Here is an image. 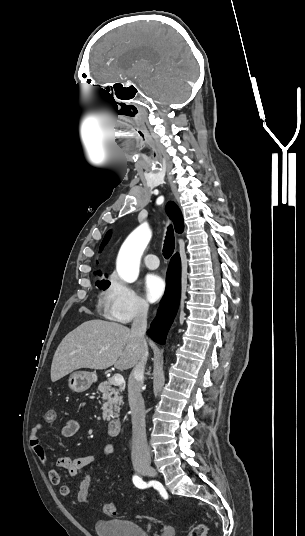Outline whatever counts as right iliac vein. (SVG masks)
Listing matches in <instances>:
<instances>
[{
	"label": "right iliac vein",
	"instance_id": "63e3f726",
	"mask_svg": "<svg viewBox=\"0 0 305 536\" xmlns=\"http://www.w3.org/2000/svg\"><path fill=\"white\" fill-rule=\"evenodd\" d=\"M138 471L140 473H144V474H147V475H155L156 474L154 468L152 466H149V465H139L138 466Z\"/></svg>",
	"mask_w": 305,
	"mask_h": 536
}]
</instances>
